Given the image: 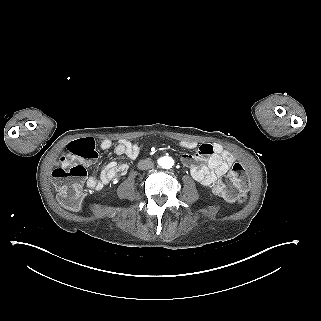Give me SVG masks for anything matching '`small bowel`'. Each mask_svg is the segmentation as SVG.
<instances>
[{
	"mask_svg": "<svg viewBox=\"0 0 321 321\" xmlns=\"http://www.w3.org/2000/svg\"><path fill=\"white\" fill-rule=\"evenodd\" d=\"M179 146L186 149H196L198 144L195 141H181ZM100 147L104 150L112 147L110 139H103ZM140 147L137 143L126 139L117 142L114 152L117 155H125L130 159L138 156ZM235 161L234 156L223 150L222 146L217 143H206L198 147L197 151L192 154H184L181 158L182 165L190 169L193 179L205 186H212L219 177H221ZM128 170V164L124 161H112L102 165L98 169V176H91L87 185L94 189L100 190L109 184L118 176L124 175Z\"/></svg>",
	"mask_w": 321,
	"mask_h": 321,
	"instance_id": "c3829d8e",
	"label": "small bowel"
}]
</instances>
